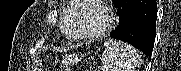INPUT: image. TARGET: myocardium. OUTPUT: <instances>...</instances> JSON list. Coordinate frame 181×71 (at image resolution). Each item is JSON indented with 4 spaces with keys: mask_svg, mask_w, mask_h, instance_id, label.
I'll use <instances>...</instances> for the list:
<instances>
[{
    "mask_svg": "<svg viewBox=\"0 0 181 71\" xmlns=\"http://www.w3.org/2000/svg\"><path fill=\"white\" fill-rule=\"evenodd\" d=\"M72 2H76L77 3V8L72 16V20H71V31H72V38L77 39V40H95L98 38H101L103 36H105L107 33H109L115 23H116V16L115 13L113 11V9L110 7V5L106 2V1H101V0H73ZM89 4H96L98 5L100 8H102L106 14H107V23L106 25L99 31L95 32V33H91V34H84L78 31V21H79V15L81 10L89 5Z\"/></svg>",
    "mask_w": 181,
    "mask_h": 71,
    "instance_id": "f54148a6",
    "label": "myocardium"
}]
</instances>
